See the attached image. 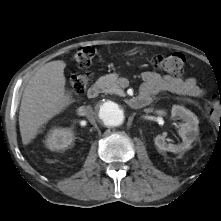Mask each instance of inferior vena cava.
Returning <instances> with one entry per match:
<instances>
[{"instance_id": "inferior-vena-cava-1", "label": "inferior vena cava", "mask_w": 221, "mask_h": 221, "mask_svg": "<svg viewBox=\"0 0 221 221\" xmlns=\"http://www.w3.org/2000/svg\"><path fill=\"white\" fill-rule=\"evenodd\" d=\"M85 115L89 119L90 122H95L94 111L91 106H87L85 110Z\"/></svg>"}]
</instances>
